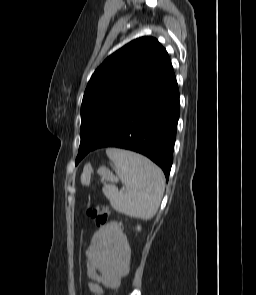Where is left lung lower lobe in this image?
<instances>
[{"mask_svg":"<svg viewBox=\"0 0 256 295\" xmlns=\"http://www.w3.org/2000/svg\"><path fill=\"white\" fill-rule=\"evenodd\" d=\"M179 91L174 76L156 94L131 110L98 143L80 154L78 162L90 151L118 147L141 153L169 177L179 119Z\"/></svg>","mask_w":256,"mask_h":295,"instance_id":"1","label":"left lung lower lobe"}]
</instances>
